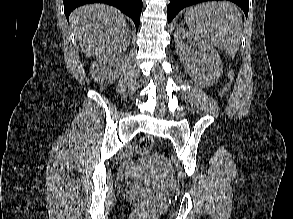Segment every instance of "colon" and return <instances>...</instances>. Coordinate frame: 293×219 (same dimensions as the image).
Masks as SVG:
<instances>
[{
    "label": "colon",
    "instance_id": "1",
    "mask_svg": "<svg viewBox=\"0 0 293 219\" xmlns=\"http://www.w3.org/2000/svg\"><path fill=\"white\" fill-rule=\"evenodd\" d=\"M233 80H234V71L232 70L229 73L227 83L222 87V89L219 92L220 98H223L229 92L232 86ZM153 146H154V139L150 136H145L141 138L140 141L138 142L137 151L142 155H146L151 152ZM138 202L148 211L153 210V201L151 200L150 197L141 195L138 198Z\"/></svg>",
    "mask_w": 293,
    "mask_h": 219
}]
</instances>
